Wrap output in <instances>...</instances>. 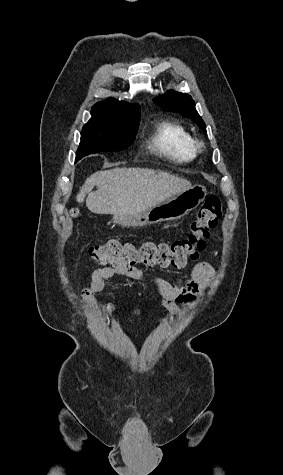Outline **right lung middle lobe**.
I'll list each match as a JSON object with an SVG mask.
<instances>
[{
    "mask_svg": "<svg viewBox=\"0 0 283 475\" xmlns=\"http://www.w3.org/2000/svg\"><path fill=\"white\" fill-rule=\"evenodd\" d=\"M140 106L93 107L92 118L84 125L76 161L103 151H120L134 141L140 122Z\"/></svg>",
    "mask_w": 283,
    "mask_h": 475,
    "instance_id": "1",
    "label": "right lung middle lobe"
}]
</instances>
